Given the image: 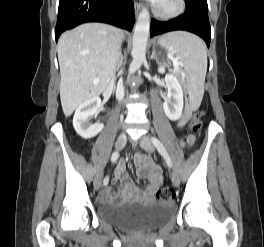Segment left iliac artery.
Returning a JSON list of instances; mask_svg holds the SVG:
<instances>
[{
  "mask_svg": "<svg viewBox=\"0 0 264 247\" xmlns=\"http://www.w3.org/2000/svg\"><path fill=\"white\" fill-rule=\"evenodd\" d=\"M151 141H152L153 145L157 148L158 152L164 157L167 165L169 167H172L171 158L168 155V153H167L166 149L164 148L163 144L161 143V141L156 137H151Z\"/></svg>",
  "mask_w": 264,
  "mask_h": 247,
  "instance_id": "1",
  "label": "left iliac artery"
}]
</instances>
